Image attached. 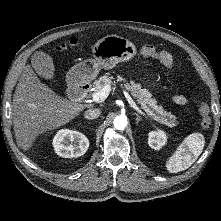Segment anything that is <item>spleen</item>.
<instances>
[{"label": "spleen", "instance_id": "3e777b00", "mask_svg": "<svg viewBox=\"0 0 221 221\" xmlns=\"http://www.w3.org/2000/svg\"><path fill=\"white\" fill-rule=\"evenodd\" d=\"M205 145L201 133L188 135L174 154L167 160L166 168L170 173H178L188 169L201 154Z\"/></svg>", "mask_w": 221, "mask_h": 221}]
</instances>
